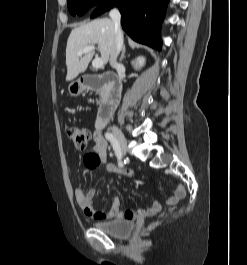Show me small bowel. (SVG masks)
<instances>
[{
	"label": "small bowel",
	"mask_w": 247,
	"mask_h": 265,
	"mask_svg": "<svg viewBox=\"0 0 247 265\" xmlns=\"http://www.w3.org/2000/svg\"><path fill=\"white\" fill-rule=\"evenodd\" d=\"M93 148L91 152H88L83 157L84 165L89 169L104 168L109 172H115L116 167L113 164L107 162V142L100 133V131H95L93 133ZM126 174L131 177H136V172L127 171ZM186 194L185 188L183 186H178L173 195H171L167 204H175L180 199L184 198ZM96 195V189L92 188L88 191H84L81 188H76L74 190V197L82 211L85 215L94 218L96 220H108V219H127L142 221L146 217L153 216L158 213L163 204L159 201H155L147 209H137V210H121V201L118 197L114 198L111 207L108 211L103 212L97 210L94 207L93 201Z\"/></svg>",
	"instance_id": "1"
}]
</instances>
